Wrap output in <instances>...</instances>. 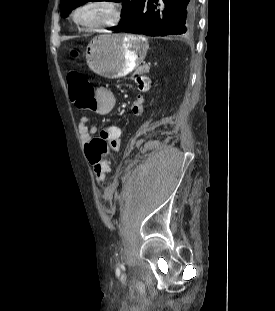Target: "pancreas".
Instances as JSON below:
<instances>
[{
  "label": "pancreas",
  "mask_w": 275,
  "mask_h": 311,
  "mask_svg": "<svg viewBox=\"0 0 275 311\" xmlns=\"http://www.w3.org/2000/svg\"><path fill=\"white\" fill-rule=\"evenodd\" d=\"M149 67L147 65H143L137 68L136 70V74H143L146 73L148 71Z\"/></svg>",
  "instance_id": "cf45deb5"
}]
</instances>
